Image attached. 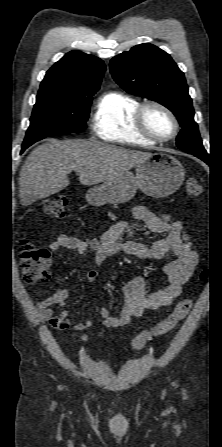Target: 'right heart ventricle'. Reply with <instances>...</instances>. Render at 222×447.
Segmentation results:
<instances>
[{"label":"right heart ventricle","mask_w":222,"mask_h":447,"mask_svg":"<svg viewBox=\"0 0 222 447\" xmlns=\"http://www.w3.org/2000/svg\"><path fill=\"white\" fill-rule=\"evenodd\" d=\"M140 102L121 92H108L97 102L92 129L102 140L125 144L152 145L154 141L139 132L135 113Z\"/></svg>","instance_id":"right-heart-ventricle-1"}]
</instances>
